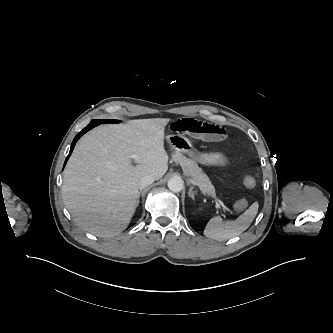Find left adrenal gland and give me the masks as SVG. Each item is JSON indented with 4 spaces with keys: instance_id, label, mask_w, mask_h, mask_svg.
Wrapping results in <instances>:
<instances>
[{
    "instance_id": "left-adrenal-gland-1",
    "label": "left adrenal gland",
    "mask_w": 333,
    "mask_h": 333,
    "mask_svg": "<svg viewBox=\"0 0 333 333\" xmlns=\"http://www.w3.org/2000/svg\"><path fill=\"white\" fill-rule=\"evenodd\" d=\"M192 189H193V187L190 186V189H189L188 195H189V197H191L192 199H194V197H195V195H196V192H193Z\"/></svg>"
}]
</instances>
